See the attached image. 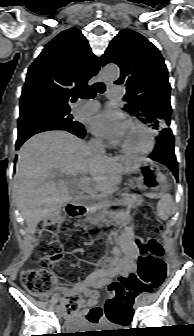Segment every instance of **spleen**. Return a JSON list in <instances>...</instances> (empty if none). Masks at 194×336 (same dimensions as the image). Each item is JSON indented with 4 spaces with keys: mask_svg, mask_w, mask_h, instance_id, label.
I'll use <instances>...</instances> for the list:
<instances>
[{
    "mask_svg": "<svg viewBox=\"0 0 194 336\" xmlns=\"http://www.w3.org/2000/svg\"><path fill=\"white\" fill-rule=\"evenodd\" d=\"M173 208V200L170 194L162 196L158 203V215L162 220H167Z\"/></svg>",
    "mask_w": 194,
    "mask_h": 336,
    "instance_id": "1",
    "label": "spleen"
}]
</instances>
